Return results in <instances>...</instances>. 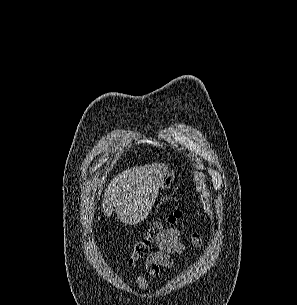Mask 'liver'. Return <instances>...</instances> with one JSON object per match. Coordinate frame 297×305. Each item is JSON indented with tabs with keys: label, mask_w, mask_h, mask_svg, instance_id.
<instances>
[{
	"label": "liver",
	"mask_w": 297,
	"mask_h": 305,
	"mask_svg": "<svg viewBox=\"0 0 297 305\" xmlns=\"http://www.w3.org/2000/svg\"><path fill=\"white\" fill-rule=\"evenodd\" d=\"M167 167L162 163L145 164L127 169L115 176L105 190L104 215L110 217L113 207L126 225H137L147 218L159 192Z\"/></svg>",
	"instance_id": "obj_1"
}]
</instances>
